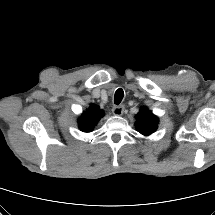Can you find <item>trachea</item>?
<instances>
[{
    "mask_svg": "<svg viewBox=\"0 0 215 215\" xmlns=\"http://www.w3.org/2000/svg\"><path fill=\"white\" fill-rule=\"evenodd\" d=\"M123 97H124L123 90L121 88L117 89V91L115 92L114 103L116 105L120 104Z\"/></svg>",
    "mask_w": 215,
    "mask_h": 215,
    "instance_id": "obj_1",
    "label": "trachea"
}]
</instances>
